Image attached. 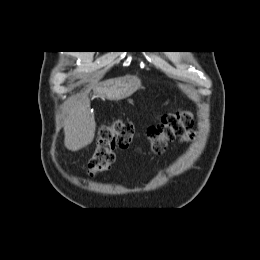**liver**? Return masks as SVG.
<instances>
[{"mask_svg":"<svg viewBox=\"0 0 260 260\" xmlns=\"http://www.w3.org/2000/svg\"><path fill=\"white\" fill-rule=\"evenodd\" d=\"M117 79L106 80L95 86L94 92L109 100L111 88ZM96 123L90 109L88 97L69 99L67 101V118L64 126V144L68 150L78 151L91 144L95 136Z\"/></svg>","mask_w":260,"mask_h":260,"instance_id":"6515ba94","label":"liver"}]
</instances>
